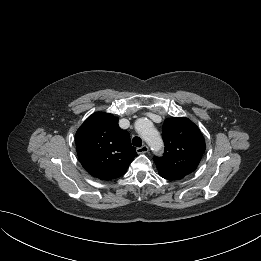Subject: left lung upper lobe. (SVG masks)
Instances as JSON below:
<instances>
[{"mask_svg":"<svg viewBox=\"0 0 261 261\" xmlns=\"http://www.w3.org/2000/svg\"><path fill=\"white\" fill-rule=\"evenodd\" d=\"M162 137L164 155L154 156L160 176L167 180H180L192 173L206 147L199 128L188 118H169L164 121Z\"/></svg>","mask_w":261,"mask_h":261,"instance_id":"1","label":"left lung upper lobe"}]
</instances>
